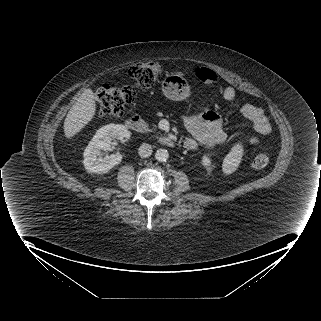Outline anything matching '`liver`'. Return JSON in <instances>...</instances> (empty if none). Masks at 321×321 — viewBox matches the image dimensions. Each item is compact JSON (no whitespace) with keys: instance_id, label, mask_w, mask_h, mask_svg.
Here are the masks:
<instances>
[{"instance_id":"6515ba94","label":"liver","mask_w":321,"mask_h":321,"mask_svg":"<svg viewBox=\"0 0 321 321\" xmlns=\"http://www.w3.org/2000/svg\"><path fill=\"white\" fill-rule=\"evenodd\" d=\"M96 103L92 89H86L71 107L64 121V136L71 139L95 116Z\"/></svg>"}]
</instances>
